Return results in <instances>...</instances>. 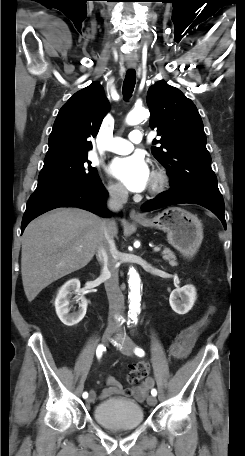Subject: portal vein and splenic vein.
<instances>
[{
    "label": "portal vein and splenic vein",
    "mask_w": 245,
    "mask_h": 456,
    "mask_svg": "<svg viewBox=\"0 0 245 456\" xmlns=\"http://www.w3.org/2000/svg\"><path fill=\"white\" fill-rule=\"evenodd\" d=\"M153 250H154V252H159L161 250V248L160 247H154Z\"/></svg>",
    "instance_id": "18ae733b"
}]
</instances>
